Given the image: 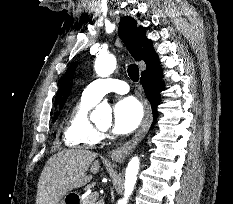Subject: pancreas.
I'll list each match as a JSON object with an SVG mask.
<instances>
[{
	"mask_svg": "<svg viewBox=\"0 0 233 204\" xmlns=\"http://www.w3.org/2000/svg\"><path fill=\"white\" fill-rule=\"evenodd\" d=\"M89 188H91V186H87L86 190L89 189ZM80 204H103V203L102 202H97V197H95L93 195V193H92V194H90V195H88V196H86L84 198L81 197Z\"/></svg>",
	"mask_w": 233,
	"mask_h": 204,
	"instance_id": "pancreas-1",
	"label": "pancreas"
}]
</instances>
